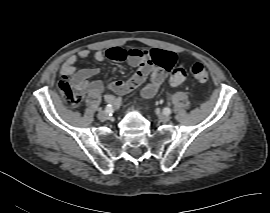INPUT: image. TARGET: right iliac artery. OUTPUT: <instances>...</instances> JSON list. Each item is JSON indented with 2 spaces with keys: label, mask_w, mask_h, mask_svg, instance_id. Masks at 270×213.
<instances>
[{
  "label": "right iliac artery",
  "mask_w": 270,
  "mask_h": 213,
  "mask_svg": "<svg viewBox=\"0 0 270 213\" xmlns=\"http://www.w3.org/2000/svg\"><path fill=\"white\" fill-rule=\"evenodd\" d=\"M105 110H106L108 113H111V112L113 111V106L110 105V104H108V105H106Z\"/></svg>",
  "instance_id": "right-iliac-artery-1"
}]
</instances>
